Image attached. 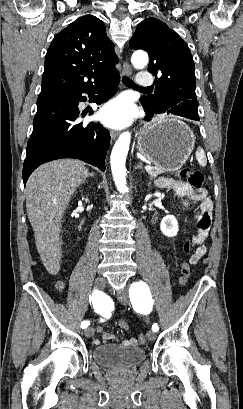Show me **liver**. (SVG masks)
Listing matches in <instances>:
<instances>
[{"label":"liver","instance_id":"1","mask_svg":"<svg viewBox=\"0 0 243 409\" xmlns=\"http://www.w3.org/2000/svg\"><path fill=\"white\" fill-rule=\"evenodd\" d=\"M88 176L84 163L59 159L38 167L26 184V210L46 270L56 275L62 258L59 239L62 213Z\"/></svg>","mask_w":243,"mask_h":409}]
</instances>
